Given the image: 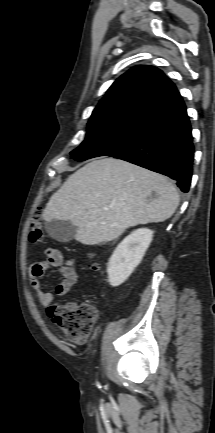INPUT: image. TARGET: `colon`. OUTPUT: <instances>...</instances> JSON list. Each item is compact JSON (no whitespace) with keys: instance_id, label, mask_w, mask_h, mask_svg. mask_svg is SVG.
<instances>
[{"instance_id":"colon-1","label":"colon","mask_w":215,"mask_h":433,"mask_svg":"<svg viewBox=\"0 0 215 433\" xmlns=\"http://www.w3.org/2000/svg\"><path fill=\"white\" fill-rule=\"evenodd\" d=\"M29 235L33 242L39 241L43 236V219L40 208H37L33 213ZM88 267L97 269L98 264L92 262L89 263ZM48 314L67 339L77 344H85L96 320L97 310L92 304L76 306L73 303H68L49 306Z\"/></svg>"}]
</instances>
